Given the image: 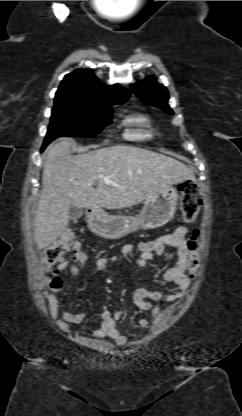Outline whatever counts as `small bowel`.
<instances>
[{"mask_svg": "<svg viewBox=\"0 0 242 416\" xmlns=\"http://www.w3.org/2000/svg\"><path fill=\"white\" fill-rule=\"evenodd\" d=\"M189 232L187 226H179L172 232L155 238L150 241L139 242L137 244H125L121 248V255L133 262L139 267L147 266L150 261L157 255L164 251L166 246H171L176 250V262L167 269L161 277L162 286L158 290H148L145 288H138L133 293V301L135 305L144 311H150L151 317H155L160 312L158 305H153L152 302L167 301L172 302L184 295L189 287V279L185 275L187 266L188 250L186 246V236ZM135 254V255H134ZM119 259L118 255H113L109 258L95 257L91 260L92 266L100 272H107L109 266ZM57 270L60 272H69L72 275L78 273V267L67 260L61 261ZM172 283L176 286V291L165 294L164 285ZM49 307L51 316L56 319L58 327L65 333H71L70 324H81L87 317L85 312L72 313L67 310L66 304L62 303L59 306L56 293L49 297ZM123 317L121 311L112 313L107 307L103 306L101 310V325L93 333V337L101 338L109 336L119 346H124L127 343V338L121 334L117 328V321ZM149 325V320L146 318L140 319L138 326L146 328Z\"/></svg>", "mask_w": 242, "mask_h": 416, "instance_id": "c3829d8e", "label": "small bowel"}]
</instances>
